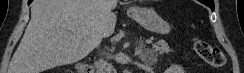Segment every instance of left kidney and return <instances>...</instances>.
Returning <instances> with one entry per match:
<instances>
[{"label":"left kidney","mask_w":244,"mask_h":73,"mask_svg":"<svg viewBox=\"0 0 244 73\" xmlns=\"http://www.w3.org/2000/svg\"><path fill=\"white\" fill-rule=\"evenodd\" d=\"M166 73H185V71L180 65L173 64L166 70Z\"/></svg>","instance_id":"obj_1"}]
</instances>
